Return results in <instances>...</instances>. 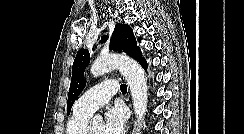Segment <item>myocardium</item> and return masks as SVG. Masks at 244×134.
<instances>
[{
	"mask_svg": "<svg viewBox=\"0 0 244 134\" xmlns=\"http://www.w3.org/2000/svg\"><path fill=\"white\" fill-rule=\"evenodd\" d=\"M85 134H92V131H91V125H87Z\"/></svg>",
	"mask_w": 244,
	"mask_h": 134,
	"instance_id": "obj_1",
	"label": "myocardium"
}]
</instances>
